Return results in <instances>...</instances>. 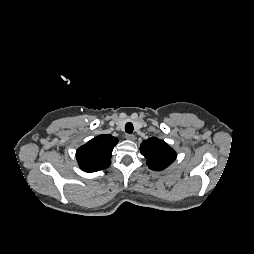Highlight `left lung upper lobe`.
<instances>
[{
    "label": "left lung upper lobe",
    "instance_id": "5c2ea615",
    "mask_svg": "<svg viewBox=\"0 0 254 254\" xmlns=\"http://www.w3.org/2000/svg\"><path fill=\"white\" fill-rule=\"evenodd\" d=\"M140 150L147 159L146 164L152 170H163L176 158V152L163 140L155 137L144 140Z\"/></svg>",
    "mask_w": 254,
    "mask_h": 254
}]
</instances>
